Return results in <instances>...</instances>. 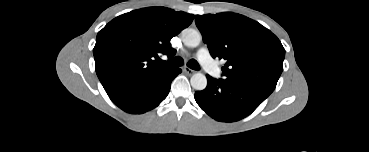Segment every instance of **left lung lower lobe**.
Instances as JSON below:
<instances>
[{"label":"left lung lower lobe","instance_id":"left-lung-lower-lobe-1","mask_svg":"<svg viewBox=\"0 0 369 152\" xmlns=\"http://www.w3.org/2000/svg\"><path fill=\"white\" fill-rule=\"evenodd\" d=\"M208 84L195 93L197 104L217 121L234 122L250 115L270 94L206 75Z\"/></svg>","mask_w":369,"mask_h":152}]
</instances>
